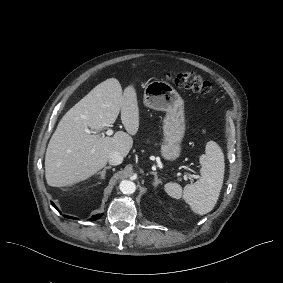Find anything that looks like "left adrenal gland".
<instances>
[{
  "mask_svg": "<svg viewBox=\"0 0 283 283\" xmlns=\"http://www.w3.org/2000/svg\"><path fill=\"white\" fill-rule=\"evenodd\" d=\"M150 174L154 176V180L152 182L153 185H157L158 182L162 183V179L158 177L156 172L152 171V172H150Z\"/></svg>",
  "mask_w": 283,
  "mask_h": 283,
  "instance_id": "left-adrenal-gland-1",
  "label": "left adrenal gland"
}]
</instances>
